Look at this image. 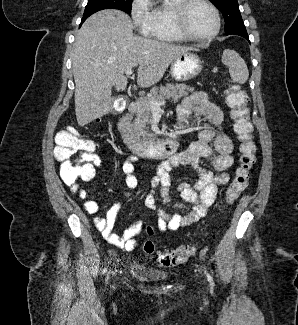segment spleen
<instances>
[{"label": "spleen", "instance_id": "spleen-1", "mask_svg": "<svg viewBox=\"0 0 298 325\" xmlns=\"http://www.w3.org/2000/svg\"><path fill=\"white\" fill-rule=\"evenodd\" d=\"M222 62L228 66L230 76L234 82H239V84L247 82L249 78L248 66L244 58H241L236 50L225 48L222 54Z\"/></svg>", "mask_w": 298, "mask_h": 325}]
</instances>
